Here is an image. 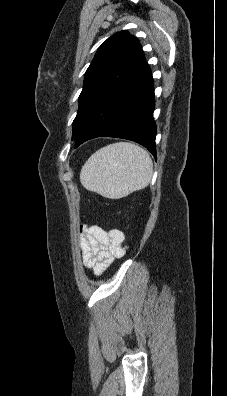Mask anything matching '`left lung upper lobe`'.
Wrapping results in <instances>:
<instances>
[{"label":"left lung upper lobe","mask_w":227,"mask_h":396,"mask_svg":"<svg viewBox=\"0 0 227 396\" xmlns=\"http://www.w3.org/2000/svg\"><path fill=\"white\" fill-rule=\"evenodd\" d=\"M144 61L138 39L127 31L115 33L99 47L85 73L72 140L77 139L99 102Z\"/></svg>","instance_id":"5c2ea615"}]
</instances>
